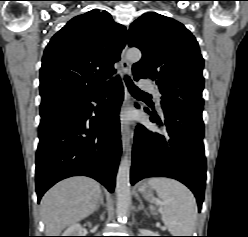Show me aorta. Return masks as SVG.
Masks as SVG:
<instances>
[{"label": "aorta", "mask_w": 248, "mask_h": 237, "mask_svg": "<svg viewBox=\"0 0 248 237\" xmlns=\"http://www.w3.org/2000/svg\"><path fill=\"white\" fill-rule=\"evenodd\" d=\"M126 57L131 62H137L141 59V52L138 49H130ZM130 159L126 155L120 162L116 177V195H117V215L119 219L127 216L131 202L130 192Z\"/></svg>", "instance_id": "762f6f07"}]
</instances>
